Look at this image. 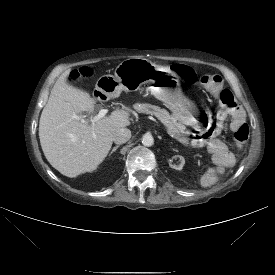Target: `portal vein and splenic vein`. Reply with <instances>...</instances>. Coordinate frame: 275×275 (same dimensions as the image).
Masks as SVG:
<instances>
[{
	"mask_svg": "<svg viewBox=\"0 0 275 275\" xmlns=\"http://www.w3.org/2000/svg\"><path fill=\"white\" fill-rule=\"evenodd\" d=\"M107 113H108L107 109H101L97 115L91 117L90 119H85V118L80 117V116H75V118L79 119L83 123H91L92 125H94L95 122H97L98 120L104 118L107 115ZM149 119L156 122V123H158V121L155 118H153L152 116H149Z\"/></svg>",
	"mask_w": 275,
	"mask_h": 275,
	"instance_id": "1",
	"label": "portal vein and splenic vein"
}]
</instances>
